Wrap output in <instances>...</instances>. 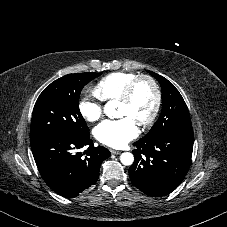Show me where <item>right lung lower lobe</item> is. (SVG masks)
<instances>
[{
  "label": "right lung lower lobe",
  "mask_w": 227,
  "mask_h": 227,
  "mask_svg": "<svg viewBox=\"0 0 227 227\" xmlns=\"http://www.w3.org/2000/svg\"><path fill=\"white\" fill-rule=\"evenodd\" d=\"M88 145L83 153L78 149ZM38 170L47 185L57 194L73 198L95 184L101 163L110 156L108 149L94 147L90 134H48L31 142Z\"/></svg>",
  "instance_id": "obj_1"
}]
</instances>
